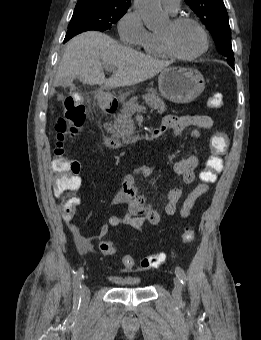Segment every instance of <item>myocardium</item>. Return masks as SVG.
Instances as JSON below:
<instances>
[{
    "label": "myocardium",
    "mask_w": 261,
    "mask_h": 340,
    "mask_svg": "<svg viewBox=\"0 0 261 340\" xmlns=\"http://www.w3.org/2000/svg\"><path fill=\"white\" fill-rule=\"evenodd\" d=\"M171 23L174 26H178V25H181V24H184V23H191V24L195 25L202 35L203 46L199 51H197L194 54L183 55V54L178 53L172 47L171 42L168 39V37L159 34V40H160L161 46L169 56L180 59V60H184V61H192V60L199 58L204 53H206V51L209 48V36H208V33H207L205 27L201 24V22L199 20H197L193 17H190V16H177V17H174L171 20Z\"/></svg>",
    "instance_id": "1"
}]
</instances>
